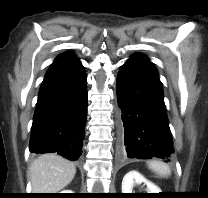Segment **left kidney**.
Segmentation results:
<instances>
[{
  "label": "left kidney",
  "mask_w": 208,
  "mask_h": 198,
  "mask_svg": "<svg viewBox=\"0 0 208 198\" xmlns=\"http://www.w3.org/2000/svg\"><path fill=\"white\" fill-rule=\"evenodd\" d=\"M141 184L147 186V193H159L161 192L160 188L157 187L152 182L148 181L144 178L139 172L137 171H130L128 172L122 181V193H132L134 184Z\"/></svg>",
  "instance_id": "1"
}]
</instances>
